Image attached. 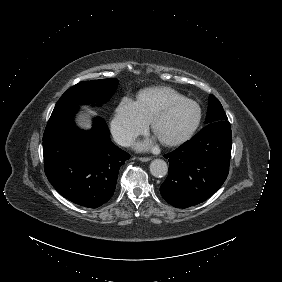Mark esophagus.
<instances>
[{"instance_id":"obj_1","label":"esophagus","mask_w":282,"mask_h":282,"mask_svg":"<svg viewBox=\"0 0 282 282\" xmlns=\"http://www.w3.org/2000/svg\"><path fill=\"white\" fill-rule=\"evenodd\" d=\"M138 159L142 162H148V161L151 160V158H149V157H139Z\"/></svg>"}]
</instances>
